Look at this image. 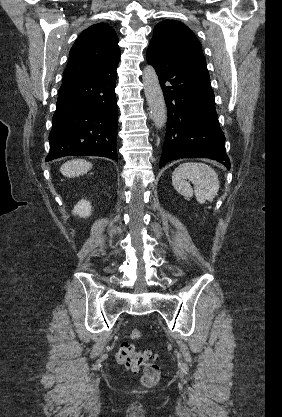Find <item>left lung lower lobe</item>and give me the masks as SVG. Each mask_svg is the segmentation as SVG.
<instances>
[{
	"label": "left lung lower lobe",
	"mask_w": 282,
	"mask_h": 417,
	"mask_svg": "<svg viewBox=\"0 0 282 417\" xmlns=\"http://www.w3.org/2000/svg\"><path fill=\"white\" fill-rule=\"evenodd\" d=\"M146 58L156 70L167 104L166 141L159 168L180 158L204 157L230 169L205 59L170 54L153 46Z\"/></svg>",
	"instance_id": "left-lung-lower-lobe-1"
}]
</instances>
